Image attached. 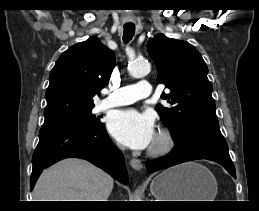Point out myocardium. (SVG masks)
Segmentation results:
<instances>
[{"label":"myocardium","mask_w":259,"mask_h":211,"mask_svg":"<svg viewBox=\"0 0 259 211\" xmlns=\"http://www.w3.org/2000/svg\"><path fill=\"white\" fill-rule=\"evenodd\" d=\"M174 146V138L170 131L166 129H161L156 137L151 147L149 148V153L151 155H162L169 152Z\"/></svg>","instance_id":"1"}]
</instances>
